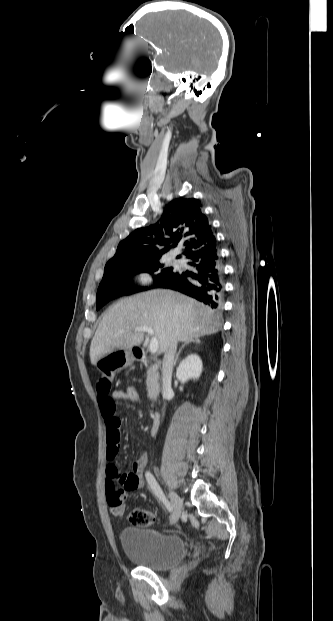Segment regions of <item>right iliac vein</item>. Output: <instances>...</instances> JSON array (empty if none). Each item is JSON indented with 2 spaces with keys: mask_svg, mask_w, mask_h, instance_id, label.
<instances>
[{
  "mask_svg": "<svg viewBox=\"0 0 333 621\" xmlns=\"http://www.w3.org/2000/svg\"><path fill=\"white\" fill-rule=\"evenodd\" d=\"M170 499L172 502V506H173V513H172V519L171 522L175 523L178 521L181 512H182V507H183V502L181 500V498L174 493L173 491L170 492Z\"/></svg>",
  "mask_w": 333,
  "mask_h": 621,
  "instance_id": "right-iliac-vein-1",
  "label": "right iliac vein"
}]
</instances>
